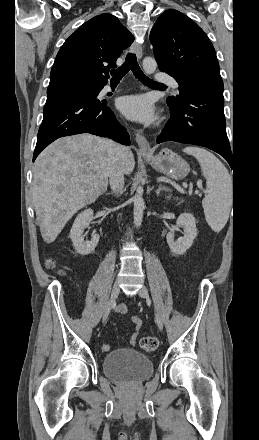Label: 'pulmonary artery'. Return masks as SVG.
Masks as SVG:
<instances>
[{
    "mask_svg": "<svg viewBox=\"0 0 259 440\" xmlns=\"http://www.w3.org/2000/svg\"><path fill=\"white\" fill-rule=\"evenodd\" d=\"M156 79L159 82L169 84L174 89H177L179 87L178 82L173 77H171L169 75H157ZM110 91H112V88L110 86H107L104 88L105 93L110 92Z\"/></svg>",
    "mask_w": 259,
    "mask_h": 440,
    "instance_id": "e3ab8cb5",
    "label": "pulmonary artery"
}]
</instances>
